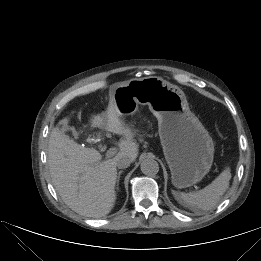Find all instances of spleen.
<instances>
[{
  "instance_id": "3e777b00",
  "label": "spleen",
  "mask_w": 261,
  "mask_h": 261,
  "mask_svg": "<svg viewBox=\"0 0 261 261\" xmlns=\"http://www.w3.org/2000/svg\"><path fill=\"white\" fill-rule=\"evenodd\" d=\"M231 173L225 169L211 184L195 193L174 192L175 199L194 212L206 211L214 208L220 197L229 187Z\"/></svg>"
}]
</instances>
